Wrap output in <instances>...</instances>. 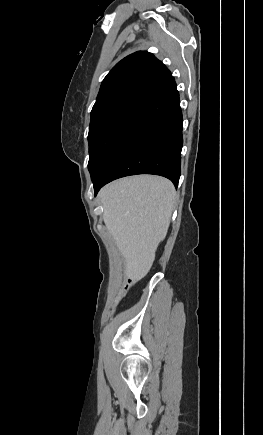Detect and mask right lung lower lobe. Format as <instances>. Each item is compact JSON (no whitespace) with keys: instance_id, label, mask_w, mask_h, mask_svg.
<instances>
[{"instance_id":"right-lung-lower-lobe-1","label":"right lung lower lobe","mask_w":263,"mask_h":435,"mask_svg":"<svg viewBox=\"0 0 263 435\" xmlns=\"http://www.w3.org/2000/svg\"><path fill=\"white\" fill-rule=\"evenodd\" d=\"M182 112L175 81L153 96L133 117L92 179L94 195L108 182L135 174H155L178 185Z\"/></svg>"}]
</instances>
